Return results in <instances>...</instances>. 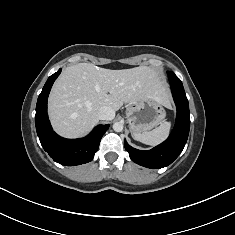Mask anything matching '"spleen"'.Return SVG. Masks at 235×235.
<instances>
[{"mask_svg": "<svg viewBox=\"0 0 235 235\" xmlns=\"http://www.w3.org/2000/svg\"><path fill=\"white\" fill-rule=\"evenodd\" d=\"M170 128L171 123L165 121L152 131L142 134H132V137L144 144L155 146L163 142L168 137Z\"/></svg>", "mask_w": 235, "mask_h": 235, "instance_id": "obj_1", "label": "spleen"}]
</instances>
